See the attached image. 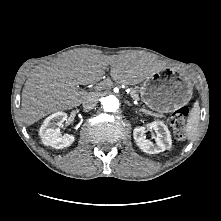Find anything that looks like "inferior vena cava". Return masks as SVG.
Listing matches in <instances>:
<instances>
[{
	"label": "inferior vena cava",
	"instance_id": "obj_1",
	"mask_svg": "<svg viewBox=\"0 0 221 221\" xmlns=\"http://www.w3.org/2000/svg\"><path fill=\"white\" fill-rule=\"evenodd\" d=\"M98 103V95L97 94H90L88 95L82 102L83 108L85 110L93 109Z\"/></svg>",
	"mask_w": 221,
	"mask_h": 221
}]
</instances>
